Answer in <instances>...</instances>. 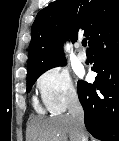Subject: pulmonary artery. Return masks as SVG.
Returning a JSON list of instances; mask_svg holds the SVG:
<instances>
[{"mask_svg": "<svg viewBox=\"0 0 119 141\" xmlns=\"http://www.w3.org/2000/svg\"><path fill=\"white\" fill-rule=\"evenodd\" d=\"M77 47H78V49H79L78 54H77V57H78L79 61H81V62H86V61H87V55H86V53L81 49V44H78Z\"/></svg>", "mask_w": 119, "mask_h": 141, "instance_id": "e3ab8cb5", "label": "pulmonary artery"}]
</instances>
